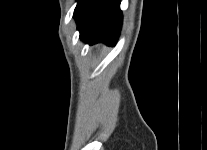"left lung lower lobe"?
Wrapping results in <instances>:
<instances>
[{
  "label": "left lung lower lobe",
  "instance_id": "left-lung-lower-lobe-1",
  "mask_svg": "<svg viewBox=\"0 0 207 150\" xmlns=\"http://www.w3.org/2000/svg\"><path fill=\"white\" fill-rule=\"evenodd\" d=\"M74 18L86 43L114 45L122 25L120 0H78Z\"/></svg>",
  "mask_w": 207,
  "mask_h": 150
}]
</instances>
